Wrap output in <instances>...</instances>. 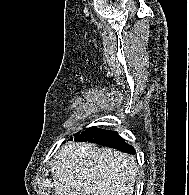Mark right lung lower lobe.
Segmentation results:
<instances>
[{
  "mask_svg": "<svg viewBox=\"0 0 189 195\" xmlns=\"http://www.w3.org/2000/svg\"><path fill=\"white\" fill-rule=\"evenodd\" d=\"M71 140H73V138H71ZM74 141L94 142L103 146L116 148L122 152L135 154L134 148L125 143L123 138H121L117 132L99 129L95 126L86 129L82 133H78L75 136Z\"/></svg>",
  "mask_w": 189,
  "mask_h": 195,
  "instance_id": "right-lung-lower-lobe-1",
  "label": "right lung lower lobe"
}]
</instances>
